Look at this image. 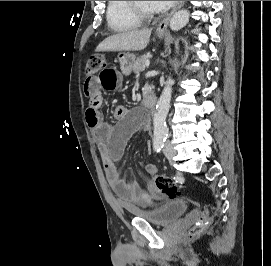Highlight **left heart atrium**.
<instances>
[{
  "label": "left heart atrium",
  "mask_w": 271,
  "mask_h": 266,
  "mask_svg": "<svg viewBox=\"0 0 271 266\" xmlns=\"http://www.w3.org/2000/svg\"><path fill=\"white\" fill-rule=\"evenodd\" d=\"M175 1H150V6L153 11H162L171 7Z\"/></svg>",
  "instance_id": "left-heart-atrium-1"
}]
</instances>
